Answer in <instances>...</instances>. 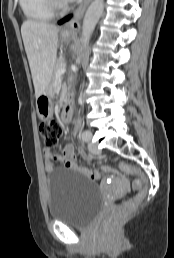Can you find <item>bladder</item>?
<instances>
[{
    "mask_svg": "<svg viewBox=\"0 0 174 258\" xmlns=\"http://www.w3.org/2000/svg\"><path fill=\"white\" fill-rule=\"evenodd\" d=\"M47 187L50 218L69 226L87 227L103 208L100 187L77 170L54 169Z\"/></svg>",
    "mask_w": 174,
    "mask_h": 258,
    "instance_id": "31cf9c89",
    "label": "bladder"
}]
</instances>
